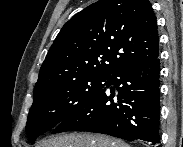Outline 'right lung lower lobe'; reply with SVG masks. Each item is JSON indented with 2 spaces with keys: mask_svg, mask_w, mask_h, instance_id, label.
Instances as JSON below:
<instances>
[{
  "mask_svg": "<svg viewBox=\"0 0 183 147\" xmlns=\"http://www.w3.org/2000/svg\"><path fill=\"white\" fill-rule=\"evenodd\" d=\"M160 60L117 70L103 87L57 125L52 134L83 130L128 141L160 143ZM113 84L114 88H107Z\"/></svg>",
  "mask_w": 183,
  "mask_h": 147,
  "instance_id": "right-lung-lower-lobe-1",
  "label": "right lung lower lobe"
}]
</instances>
